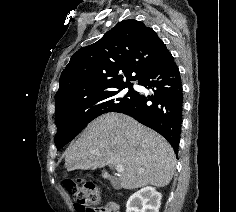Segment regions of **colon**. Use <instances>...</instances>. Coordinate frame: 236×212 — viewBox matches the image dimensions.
<instances>
[{
	"label": "colon",
	"mask_w": 236,
	"mask_h": 212,
	"mask_svg": "<svg viewBox=\"0 0 236 212\" xmlns=\"http://www.w3.org/2000/svg\"><path fill=\"white\" fill-rule=\"evenodd\" d=\"M64 184L74 197L79 212H102L101 191L97 184L84 179H68Z\"/></svg>",
	"instance_id": "colon-1"
}]
</instances>
